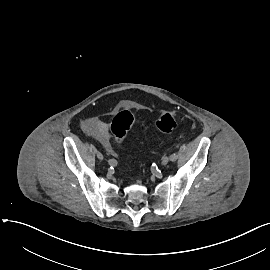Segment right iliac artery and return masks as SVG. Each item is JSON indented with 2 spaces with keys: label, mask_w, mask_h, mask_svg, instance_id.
Segmentation results:
<instances>
[{
  "label": "right iliac artery",
  "mask_w": 270,
  "mask_h": 270,
  "mask_svg": "<svg viewBox=\"0 0 270 270\" xmlns=\"http://www.w3.org/2000/svg\"><path fill=\"white\" fill-rule=\"evenodd\" d=\"M108 163L111 165V166H116L117 165V161L115 159H109L108 160Z\"/></svg>",
  "instance_id": "82829eb1"
}]
</instances>
